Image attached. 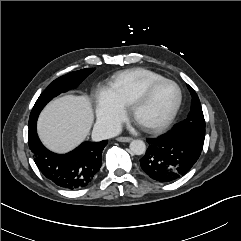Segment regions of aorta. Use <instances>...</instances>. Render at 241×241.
Masks as SVG:
<instances>
[{
    "label": "aorta",
    "instance_id": "aorta-1",
    "mask_svg": "<svg viewBox=\"0 0 241 241\" xmlns=\"http://www.w3.org/2000/svg\"><path fill=\"white\" fill-rule=\"evenodd\" d=\"M129 148H130V151L135 155H142L146 151V145H145L144 141L138 140V139L133 140L130 143Z\"/></svg>",
    "mask_w": 241,
    "mask_h": 241
}]
</instances>
